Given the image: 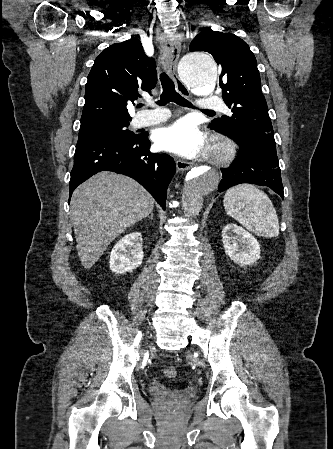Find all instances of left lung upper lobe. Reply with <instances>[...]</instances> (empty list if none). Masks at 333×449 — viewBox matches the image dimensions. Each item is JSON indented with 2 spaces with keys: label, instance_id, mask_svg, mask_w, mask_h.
Wrapping results in <instances>:
<instances>
[{
  "label": "left lung upper lobe",
  "instance_id": "1",
  "mask_svg": "<svg viewBox=\"0 0 333 449\" xmlns=\"http://www.w3.org/2000/svg\"><path fill=\"white\" fill-rule=\"evenodd\" d=\"M189 50L208 52L221 67L222 97L232 114L213 120L210 127L245 148L277 155L257 61L247 43L208 27L193 39Z\"/></svg>",
  "mask_w": 333,
  "mask_h": 449
}]
</instances>
